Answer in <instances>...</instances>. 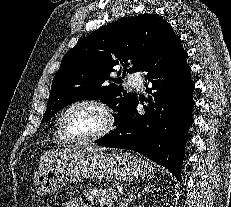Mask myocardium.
Masks as SVG:
<instances>
[{
	"label": "myocardium",
	"instance_id": "1",
	"mask_svg": "<svg viewBox=\"0 0 231 207\" xmlns=\"http://www.w3.org/2000/svg\"><path fill=\"white\" fill-rule=\"evenodd\" d=\"M82 104H88L92 105L96 108H98L101 113L104 116V125L103 127L98 130L97 132L86 136V137H75L70 134L67 125H66V118L68 113L76 106L82 105ZM116 124V117L113 112V109L104 101L94 98V97H85V98H80L72 103H70L61 113L60 119H59V125H60V130L62 135L69 141L73 143H87V142H92L96 141L98 139H101L111 133L115 127Z\"/></svg>",
	"mask_w": 231,
	"mask_h": 207
}]
</instances>
